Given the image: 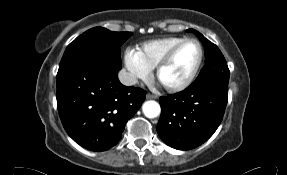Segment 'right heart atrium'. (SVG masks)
I'll return each mask as SVG.
<instances>
[{
    "label": "right heart atrium",
    "instance_id": "obj_1",
    "mask_svg": "<svg viewBox=\"0 0 287 175\" xmlns=\"http://www.w3.org/2000/svg\"><path fill=\"white\" fill-rule=\"evenodd\" d=\"M124 64L132 82L137 80L146 81L151 76V69L141 61L137 51L134 49H126L124 53Z\"/></svg>",
    "mask_w": 287,
    "mask_h": 175
}]
</instances>
